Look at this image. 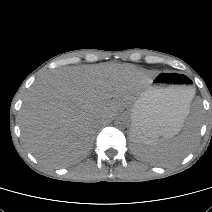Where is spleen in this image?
Wrapping results in <instances>:
<instances>
[{
    "label": "spleen",
    "mask_w": 212,
    "mask_h": 212,
    "mask_svg": "<svg viewBox=\"0 0 212 212\" xmlns=\"http://www.w3.org/2000/svg\"><path fill=\"white\" fill-rule=\"evenodd\" d=\"M195 95V89L190 88L184 95L183 116L190 112V104ZM185 127L183 133L177 137L159 142L154 145H136V155L146 162L155 165H171L182 160L189 152L198 137V127Z\"/></svg>",
    "instance_id": "spleen-1"
}]
</instances>
